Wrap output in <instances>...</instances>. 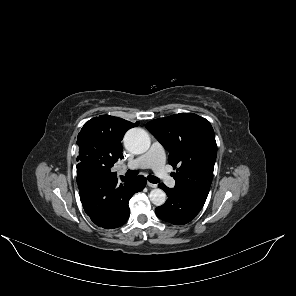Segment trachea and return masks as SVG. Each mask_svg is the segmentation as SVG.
<instances>
[{"instance_id":"obj_1","label":"trachea","mask_w":296,"mask_h":296,"mask_svg":"<svg viewBox=\"0 0 296 296\" xmlns=\"http://www.w3.org/2000/svg\"><path fill=\"white\" fill-rule=\"evenodd\" d=\"M137 174H138V172L137 171H134V170H128L126 172V176L127 177H130V178L136 177ZM147 178H148V181L151 182V183H153V184H156V183L159 182V179L157 177L153 176V175H148Z\"/></svg>"}]
</instances>
